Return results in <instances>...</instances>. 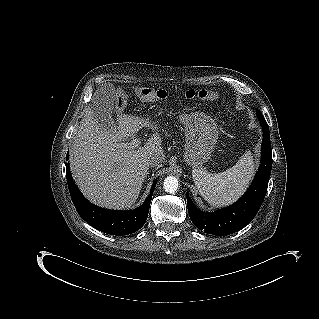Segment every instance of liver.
Masks as SVG:
<instances>
[{"instance_id":"1","label":"liver","mask_w":319,"mask_h":319,"mask_svg":"<svg viewBox=\"0 0 319 319\" xmlns=\"http://www.w3.org/2000/svg\"><path fill=\"white\" fill-rule=\"evenodd\" d=\"M117 116V125L106 129L99 124L91 105L86 109L73 137L70 169L81 192L92 203L109 209H126L140 194L149 172L147 159L165 155L157 132L143 147L117 148L143 127L157 129L138 116Z\"/></svg>"}]
</instances>
